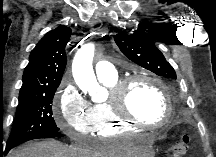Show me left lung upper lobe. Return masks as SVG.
Wrapping results in <instances>:
<instances>
[{
	"mask_svg": "<svg viewBox=\"0 0 216 157\" xmlns=\"http://www.w3.org/2000/svg\"><path fill=\"white\" fill-rule=\"evenodd\" d=\"M114 40L121 52L134 63L159 76L177 78L173 67L156 47L149 32L120 33L114 36Z\"/></svg>",
	"mask_w": 216,
	"mask_h": 157,
	"instance_id": "5c2ea615",
	"label": "left lung upper lobe"
}]
</instances>
